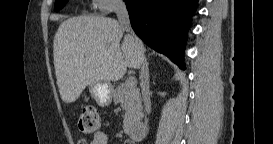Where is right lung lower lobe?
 Listing matches in <instances>:
<instances>
[{
	"mask_svg": "<svg viewBox=\"0 0 273 144\" xmlns=\"http://www.w3.org/2000/svg\"><path fill=\"white\" fill-rule=\"evenodd\" d=\"M133 30L184 69L183 51L198 0H124Z\"/></svg>",
	"mask_w": 273,
	"mask_h": 144,
	"instance_id": "obj_1",
	"label": "right lung lower lobe"
}]
</instances>
